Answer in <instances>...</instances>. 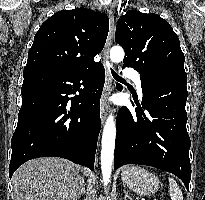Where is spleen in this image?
<instances>
[{
  "label": "spleen",
  "mask_w": 205,
  "mask_h": 200,
  "mask_svg": "<svg viewBox=\"0 0 205 200\" xmlns=\"http://www.w3.org/2000/svg\"><path fill=\"white\" fill-rule=\"evenodd\" d=\"M168 181H169V196L171 200H183V194L177 182L171 177L168 178Z\"/></svg>",
  "instance_id": "spleen-1"
}]
</instances>
